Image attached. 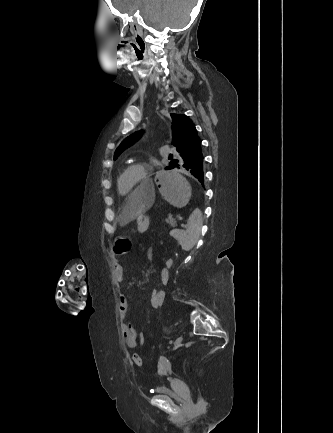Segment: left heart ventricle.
Segmentation results:
<instances>
[{"label":"left heart ventricle","instance_id":"1","mask_svg":"<svg viewBox=\"0 0 333 433\" xmlns=\"http://www.w3.org/2000/svg\"><path fill=\"white\" fill-rule=\"evenodd\" d=\"M139 172L138 171H131L129 172L122 180V188L123 190H127L131 187V185L135 182V180L138 178Z\"/></svg>","mask_w":333,"mask_h":433}]
</instances>
